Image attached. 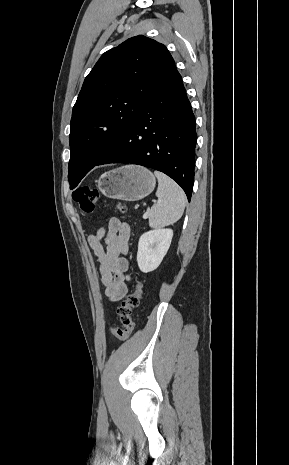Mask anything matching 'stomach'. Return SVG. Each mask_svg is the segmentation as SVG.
<instances>
[{"mask_svg":"<svg viewBox=\"0 0 289 465\" xmlns=\"http://www.w3.org/2000/svg\"><path fill=\"white\" fill-rule=\"evenodd\" d=\"M97 184L99 190L108 198L138 201L154 190L156 180L148 169L126 165L102 174Z\"/></svg>","mask_w":289,"mask_h":465,"instance_id":"stomach-1","label":"stomach"}]
</instances>
